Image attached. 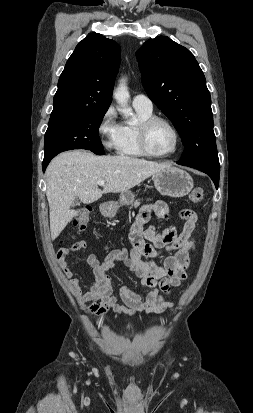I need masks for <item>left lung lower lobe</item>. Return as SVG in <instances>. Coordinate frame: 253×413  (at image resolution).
I'll list each match as a JSON object with an SVG mask.
<instances>
[{"instance_id":"obj_1","label":"left lung lower lobe","mask_w":253,"mask_h":413,"mask_svg":"<svg viewBox=\"0 0 253 413\" xmlns=\"http://www.w3.org/2000/svg\"><path fill=\"white\" fill-rule=\"evenodd\" d=\"M178 163V162H177ZM179 164V163H178ZM181 165V164H180ZM191 168L198 169L210 176V178L213 180L215 187L218 188L219 185V174H220V168L219 169H214V168H207V167H197V166H188Z\"/></svg>"}]
</instances>
